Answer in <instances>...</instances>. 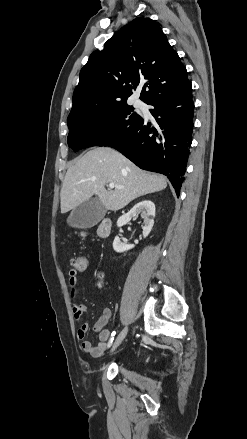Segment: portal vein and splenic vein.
<instances>
[{"label":"portal vein and splenic vein","mask_w":247,"mask_h":439,"mask_svg":"<svg viewBox=\"0 0 247 439\" xmlns=\"http://www.w3.org/2000/svg\"><path fill=\"white\" fill-rule=\"evenodd\" d=\"M109 188H110V189H114V188L122 189L123 187L118 186V185H115L114 183H109Z\"/></svg>","instance_id":"obj_1"}]
</instances>
